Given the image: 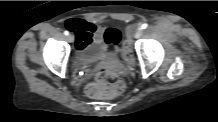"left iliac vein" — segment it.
<instances>
[{
    "instance_id": "obj_1",
    "label": "left iliac vein",
    "mask_w": 218,
    "mask_h": 122,
    "mask_svg": "<svg viewBox=\"0 0 218 122\" xmlns=\"http://www.w3.org/2000/svg\"><path fill=\"white\" fill-rule=\"evenodd\" d=\"M142 35H143V31H142V29L140 28V29H138V30L136 31V33H135V38L139 39V38L142 37Z\"/></svg>"
}]
</instances>
